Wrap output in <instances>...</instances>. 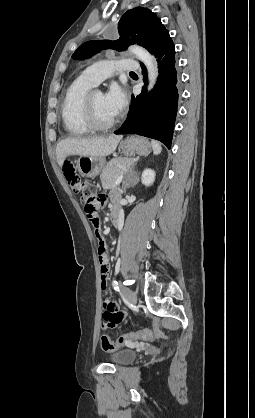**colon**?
I'll return each mask as SVG.
<instances>
[{"mask_svg": "<svg viewBox=\"0 0 255 418\" xmlns=\"http://www.w3.org/2000/svg\"><path fill=\"white\" fill-rule=\"evenodd\" d=\"M64 173L73 192L80 197L92 226L98 231V208L102 202V197L95 195L93 186L81 179L69 162L64 165ZM154 338V333L148 329L121 335L116 340H111L107 335H103L101 337V348L106 352H111L133 344L137 339L153 340Z\"/></svg>", "mask_w": 255, "mask_h": 418, "instance_id": "colon-1", "label": "colon"}]
</instances>
